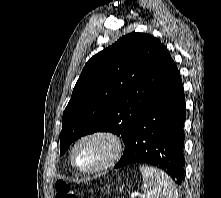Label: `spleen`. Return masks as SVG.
Listing matches in <instances>:
<instances>
[{
	"mask_svg": "<svg viewBox=\"0 0 221 198\" xmlns=\"http://www.w3.org/2000/svg\"><path fill=\"white\" fill-rule=\"evenodd\" d=\"M139 169L146 198H178L175 183L165 172L148 165H141Z\"/></svg>",
	"mask_w": 221,
	"mask_h": 198,
	"instance_id": "obj_1",
	"label": "spleen"
}]
</instances>
